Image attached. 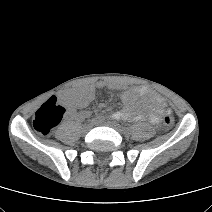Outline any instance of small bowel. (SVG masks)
I'll list each match as a JSON object with an SVG mask.
<instances>
[{"label":"small bowel","mask_w":212,"mask_h":212,"mask_svg":"<svg viewBox=\"0 0 212 212\" xmlns=\"http://www.w3.org/2000/svg\"><path fill=\"white\" fill-rule=\"evenodd\" d=\"M105 88L121 91L120 98L124 107L112 114L116 120H148L153 124H158L163 114L170 113L165 101L147 88H123L113 82L99 81L95 84L76 87L61 95V101L66 106V119L80 121L90 116L91 112L85 108L95 98L97 91ZM146 97L150 98L156 107L149 108Z\"/></svg>","instance_id":"obj_1"}]
</instances>
